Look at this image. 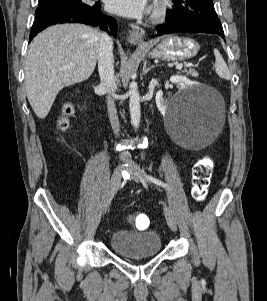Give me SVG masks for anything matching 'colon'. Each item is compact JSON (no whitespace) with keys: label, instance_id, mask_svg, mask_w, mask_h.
I'll return each mask as SVG.
<instances>
[{"label":"colon","instance_id":"colon-1","mask_svg":"<svg viewBox=\"0 0 267 301\" xmlns=\"http://www.w3.org/2000/svg\"><path fill=\"white\" fill-rule=\"evenodd\" d=\"M73 112L71 104L63 106L61 115L57 121L59 130L63 131L68 127L69 117ZM214 169V161L210 157H204L193 168L192 173V196L202 202L206 199L211 177ZM132 223L138 229H145L149 225V218L143 213H136L131 218Z\"/></svg>","mask_w":267,"mask_h":301}]
</instances>
